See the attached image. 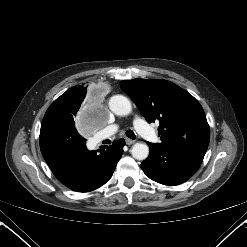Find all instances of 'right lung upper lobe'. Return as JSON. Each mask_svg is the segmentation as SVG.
Wrapping results in <instances>:
<instances>
[{
  "instance_id": "1",
  "label": "right lung upper lobe",
  "mask_w": 247,
  "mask_h": 247,
  "mask_svg": "<svg viewBox=\"0 0 247 247\" xmlns=\"http://www.w3.org/2000/svg\"><path fill=\"white\" fill-rule=\"evenodd\" d=\"M86 93H87V87L77 85L67 90L61 96L70 95L74 97L75 99L82 101L85 98Z\"/></svg>"
}]
</instances>
